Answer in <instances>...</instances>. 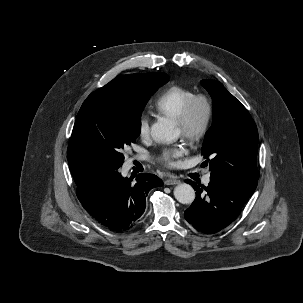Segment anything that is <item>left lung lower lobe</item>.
Instances as JSON below:
<instances>
[{
    "label": "left lung lower lobe",
    "instance_id": "1",
    "mask_svg": "<svg viewBox=\"0 0 303 303\" xmlns=\"http://www.w3.org/2000/svg\"><path fill=\"white\" fill-rule=\"evenodd\" d=\"M185 182L196 190V199L185 211L184 217L198 231L206 234L219 232L232 223L252 195L215 174H211L207 187L200 188V184L191 180Z\"/></svg>",
    "mask_w": 303,
    "mask_h": 303
}]
</instances>
